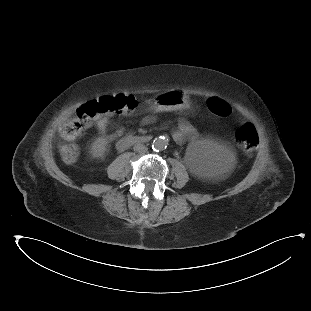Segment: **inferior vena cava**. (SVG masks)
<instances>
[{"instance_id": "obj_1", "label": "inferior vena cava", "mask_w": 311, "mask_h": 311, "mask_svg": "<svg viewBox=\"0 0 311 311\" xmlns=\"http://www.w3.org/2000/svg\"><path fill=\"white\" fill-rule=\"evenodd\" d=\"M133 150L135 152L140 153V154H145L147 152L148 148L145 145L138 143V144L134 145Z\"/></svg>"}]
</instances>
